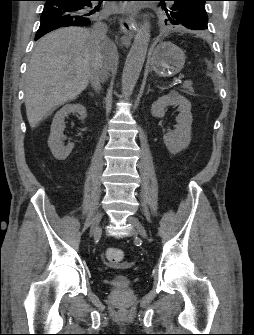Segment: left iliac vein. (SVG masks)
Masks as SVG:
<instances>
[{
  "mask_svg": "<svg viewBox=\"0 0 254 335\" xmlns=\"http://www.w3.org/2000/svg\"><path fill=\"white\" fill-rule=\"evenodd\" d=\"M128 222L137 230V232L140 234V236L144 239L147 238V233L144 228V226L139 222L138 219L135 217L131 216L128 218Z\"/></svg>",
  "mask_w": 254,
  "mask_h": 335,
  "instance_id": "4c4485c4",
  "label": "left iliac vein"
}]
</instances>
